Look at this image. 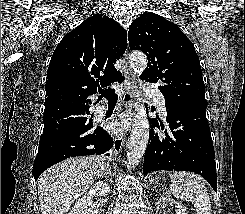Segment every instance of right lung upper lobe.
<instances>
[{
	"label": "right lung upper lobe",
	"mask_w": 245,
	"mask_h": 214,
	"mask_svg": "<svg viewBox=\"0 0 245 214\" xmlns=\"http://www.w3.org/2000/svg\"><path fill=\"white\" fill-rule=\"evenodd\" d=\"M127 48L126 31L113 18L95 14L65 35L47 70L44 123L90 107L100 86L122 79L114 67Z\"/></svg>",
	"instance_id": "obj_1"
}]
</instances>
